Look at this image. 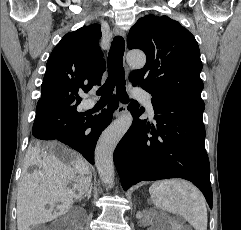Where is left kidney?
<instances>
[{
  "mask_svg": "<svg viewBox=\"0 0 241 230\" xmlns=\"http://www.w3.org/2000/svg\"><path fill=\"white\" fill-rule=\"evenodd\" d=\"M151 227L148 230H183V228L179 225H175L174 227H170L168 225H157L154 223H151Z\"/></svg>",
  "mask_w": 241,
  "mask_h": 230,
  "instance_id": "1",
  "label": "left kidney"
}]
</instances>
